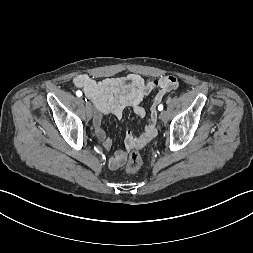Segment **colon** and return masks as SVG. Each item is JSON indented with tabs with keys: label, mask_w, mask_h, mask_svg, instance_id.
Instances as JSON below:
<instances>
[{
	"label": "colon",
	"mask_w": 253,
	"mask_h": 253,
	"mask_svg": "<svg viewBox=\"0 0 253 253\" xmlns=\"http://www.w3.org/2000/svg\"><path fill=\"white\" fill-rule=\"evenodd\" d=\"M142 164L141 154L138 151H133L128 158L125 169L128 173H135L141 168Z\"/></svg>",
	"instance_id": "obj_1"
}]
</instances>
